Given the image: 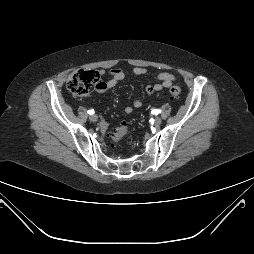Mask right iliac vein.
<instances>
[{
  "label": "right iliac vein",
  "instance_id": "right-iliac-vein-1",
  "mask_svg": "<svg viewBox=\"0 0 254 254\" xmlns=\"http://www.w3.org/2000/svg\"><path fill=\"white\" fill-rule=\"evenodd\" d=\"M89 119H90V121H92V122H96V121L98 120V117H97V115L92 114V115L89 117Z\"/></svg>",
  "mask_w": 254,
  "mask_h": 254
}]
</instances>
